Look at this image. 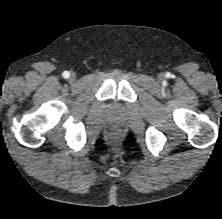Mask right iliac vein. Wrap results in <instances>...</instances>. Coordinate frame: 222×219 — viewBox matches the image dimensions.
Wrapping results in <instances>:
<instances>
[{
	"label": "right iliac vein",
	"mask_w": 222,
	"mask_h": 219,
	"mask_svg": "<svg viewBox=\"0 0 222 219\" xmlns=\"http://www.w3.org/2000/svg\"><path fill=\"white\" fill-rule=\"evenodd\" d=\"M69 80H70V82H74L76 80V74L71 73V75L69 76Z\"/></svg>",
	"instance_id": "right-iliac-vein-1"
}]
</instances>
